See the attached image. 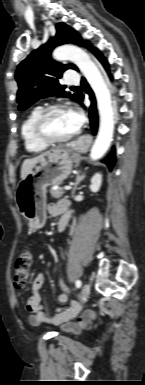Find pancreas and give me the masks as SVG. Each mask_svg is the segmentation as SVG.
<instances>
[{"mask_svg": "<svg viewBox=\"0 0 145 385\" xmlns=\"http://www.w3.org/2000/svg\"><path fill=\"white\" fill-rule=\"evenodd\" d=\"M64 193H65V191L62 188H57V189H54V190L50 191L51 196L56 198V199H58L61 196H63Z\"/></svg>", "mask_w": 145, "mask_h": 385, "instance_id": "obj_1", "label": "pancreas"}]
</instances>
